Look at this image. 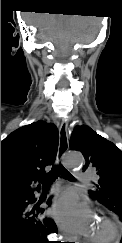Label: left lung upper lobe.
Masks as SVG:
<instances>
[{
	"mask_svg": "<svg viewBox=\"0 0 122 243\" xmlns=\"http://www.w3.org/2000/svg\"><path fill=\"white\" fill-rule=\"evenodd\" d=\"M70 148L80 151L89 165L96 168L100 176L98 184L90 190L92 199L97 200L116 213L122 221V152L112 142L98 135L88 126H76L70 140Z\"/></svg>",
	"mask_w": 122,
	"mask_h": 243,
	"instance_id": "obj_1",
	"label": "left lung upper lobe"
}]
</instances>
